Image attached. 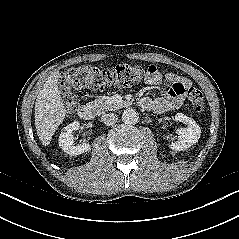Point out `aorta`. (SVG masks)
<instances>
[{
    "mask_svg": "<svg viewBox=\"0 0 239 239\" xmlns=\"http://www.w3.org/2000/svg\"><path fill=\"white\" fill-rule=\"evenodd\" d=\"M139 119V115L135 109H126L122 113V121L125 124H135Z\"/></svg>",
    "mask_w": 239,
    "mask_h": 239,
    "instance_id": "1",
    "label": "aorta"
}]
</instances>
